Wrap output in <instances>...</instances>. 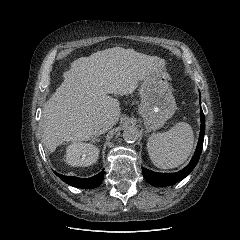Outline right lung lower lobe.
I'll return each mask as SVG.
<instances>
[{
    "mask_svg": "<svg viewBox=\"0 0 240 240\" xmlns=\"http://www.w3.org/2000/svg\"><path fill=\"white\" fill-rule=\"evenodd\" d=\"M61 180H63L65 183L77 187V188H87V189H92L98 187L104 177V170L101 171L99 174L90 177V178H77L74 176H64L61 174H58L54 172Z\"/></svg>",
    "mask_w": 240,
    "mask_h": 240,
    "instance_id": "right-lung-lower-lobe-1",
    "label": "right lung lower lobe"
}]
</instances>
